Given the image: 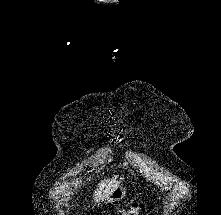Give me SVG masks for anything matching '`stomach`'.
Wrapping results in <instances>:
<instances>
[{
	"instance_id": "obj_1",
	"label": "stomach",
	"mask_w": 221,
	"mask_h": 215,
	"mask_svg": "<svg viewBox=\"0 0 221 215\" xmlns=\"http://www.w3.org/2000/svg\"><path fill=\"white\" fill-rule=\"evenodd\" d=\"M126 188L118 186L109 196L106 198V203H113L122 200L126 195Z\"/></svg>"
}]
</instances>
